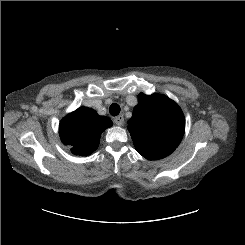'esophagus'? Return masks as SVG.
<instances>
[{
  "label": "esophagus",
  "instance_id": "34e87169",
  "mask_svg": "<svg viewBox=\"0 0 245 245\" xmlns=\"http://www.w3.org/2000/svg\"><path fill=\"white\" fill-rule=\"evenodd\" d=\"M114 123L118 126H123L124 125V116L123 115H119L117 117L114 118Z\"/></svg>",
  "mask_w": 245,
  "mask_h": 245
}]
</instances>
